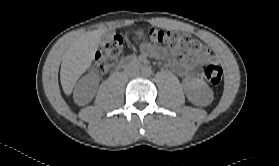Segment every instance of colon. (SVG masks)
<instances>
[{
  "label": "colon",
  "instance_id": "5ec220e1",
  "mask_svg": "<svg viewBox=\"0 0 279 166\" xmlns=\"http://www.w3.org/2000/svg\"><path fill=\"white\" fill-rule=\"evenodd\" d=\"M135 38L145 39L155 46H162L176 56L200 54L205 51L204 45L188 33L150 29L147 32H133ZM124 48L121 36H115L105 42L95 55L93 70L97 73H106L120 60ZM206 80L217 85L222 80L223 70L215 63H209L204 69Z\"/></svg>",
  "mask_w": 279,
  "mask_h": 166
}]
</instances>
